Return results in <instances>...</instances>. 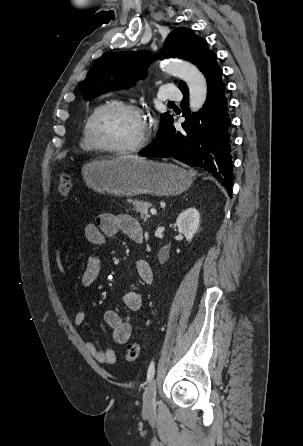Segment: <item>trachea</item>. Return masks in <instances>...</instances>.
<instances>
[{
  "mask_svg": "<svg viewBox=\"0 0 303 446\" xmlns=\"http://www.w3.org/2000/svg\"><path fill=\"white\" fill-rule=\"evenodd\" d=\"M168 103H169V104H173L174 102H172V101H169Z\"/></svg>",
  "mask_w": 303,
  "mask_h": 446,
  "instance_id": "1",
  "label": "trachea"
}]
</instances>
